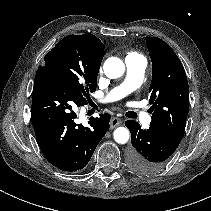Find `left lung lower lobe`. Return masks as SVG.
<instances>
[{
  "instance_id": "obj_1",
  "label": "left lung lower lobe",
  "mask_w": 211,
  "mask_h": 211,
  "mask_svg": "<svg viewBox=\"0 0 211 211\" xmlns=\"http://www.w3.org/2000/svg\"><path fill=\"white\" fill-rule=\"evenodd\" d=\"M126 127L131 132L132 146L128 150L130 169L138 175L159 172L171 158L179 145L174 144L154 128L144 130L134 120H127Z\"/></svg>"
}]
</instances>
